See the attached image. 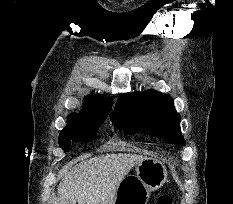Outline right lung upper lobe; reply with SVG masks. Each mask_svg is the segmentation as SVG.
Wrapping results in <instances>:
<instances>
[{"label":"right lung upper lobe","instance_id":"obj_1","mask_svg":"<svg viewBox=\"0 0 233 204\" xmlns=\"http://www.w3.org/2000/svg\"><path fill=\"white\" fill-rule=\"evenodd\" d=\"M112 100L104 96H92L88 95L85 98L84 109L79 114L72 113L68 116V125L77 123L82 120L107 117L111 109ZM67 125V126H68Z\"/></svg>","mask_w":233,"mask_h":204}]
</instances>
